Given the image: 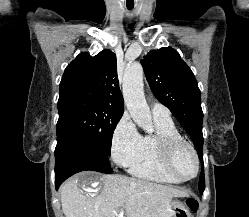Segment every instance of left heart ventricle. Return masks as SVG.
I'll use <instances>...</instances> for the list:
<instances>
[{"label": "left heart ventricle", "instance_id": "obj_1", "mask_svg": "<svg viewBox=\"0 0 249 217\" xmlns=\"http://www.w3.org/2000/svg\"><path fill=\"white\" fill-rule=\"evenodd\" d=\"M174 166L180 175L184 177L192 175L195 170V162L191 152L186 148H181L175 156Z\"/></svg>", "mask_w": 249, "mask_h": 217}]
</instances>
